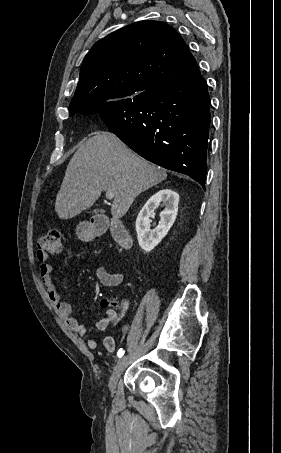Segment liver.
Returning <instances> with one entry per match:
<instances>
[{
    "label": "liver",
    "instance_id": "6515ba94",
    "mask_svg": "<svg viewBox=\"0 0 281 453\" xmlns=\"http://www.w3.org/2000/svg\"><path fill=\"white\" fill-rule=\"evenodd\" d=\"M167 172L144 160L113 132L101 130L74 152L55 200L59 218L90 208L102 190L114 192L111 214L121 218L138 194L165 180Z\"/></svg>",
    "mask_w": 281,
    "mask_h": 453
}]
</instances>
